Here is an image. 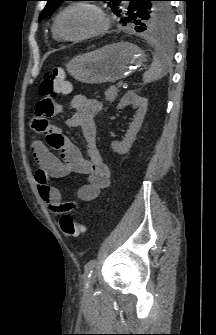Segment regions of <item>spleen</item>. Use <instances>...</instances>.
<instances>
[{"label":"spleen","mask_w":216,"mask_h":335,"mask_svg":"<svg viewBox=\"0 0 216 335\" xmlns=\"http://www.w3.org/2000/svg\"><path fill=\"white\" fill-rule=\"evenodd\" d=\"M151 45L154 47L155 53L153 54V62L149 70L143 74V81L145 83L162 78L171 68V63L160 46L155 42H151Z\"/></svg>","instance_id":"spleen-1"}]
</instances>
